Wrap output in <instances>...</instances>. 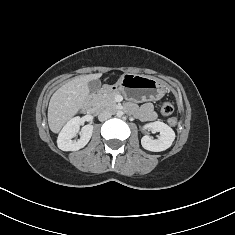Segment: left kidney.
I'll return each instance as SVG.
<instances>
[{"instance_id":"1","label":"left kidney","mask_w":235,"mask_h":235,"mask_svg":"<svg viewBox=\"0 0 235 235\" xmlns=\"http://www.w3.org/2000/svg\"><path fill=\"white\" fill-rule=\"evenodd\" d=\"M144 129L150 128L156 132H160L158 139H152L150 136L145 135L141 139L142 147L152 152H160L168 149L175 140V132L167 124L155 121L146 124Z\"/></svg>"}]
</instances>
